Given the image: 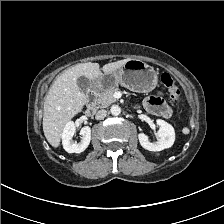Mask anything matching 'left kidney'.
I'll return each mask as SVG.
<instances>
[{
    "instance_id": "obj_1",
    "label": "left kidney",
    "mask_w": 224,
    "mask_h": 224,
    "mask_svg": "<svg viewBox=\"0 0 224 224\" xmlns=\"http://www.w3.org/2000/svg\"><path fill=\"white\" fill-rule=\"evenodd\" d=\"M156 123L159 126V139L157 142H150L144 133L138 134L141 146L149 151H162L164 149L170 148L175 141V131L172 125L161 119H158Z\"/></svg>"
}]
</instances>
